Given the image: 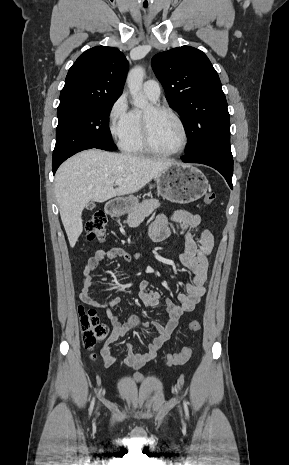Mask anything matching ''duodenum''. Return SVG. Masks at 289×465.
I'll return each mask as SVG.
<instances>
[{
  "label": "duodenum",
  "instance_id": "obj_1",
  "mask_svg": "<svg viewBox=\"0 0 289 465\" xmlns=\"http://www.w3.org/2000/svg\"><path fill=\"white\" fill-rule=\"evenodd\" d=\"M118 206L115 204V203H111L108 207H107V213L111 216V217H114L117 215L118 213Z\"/></svg>",
  "mask_w": 289,
  "mask_h": 465
}]
</instances>
